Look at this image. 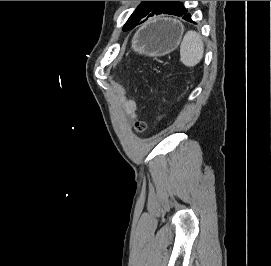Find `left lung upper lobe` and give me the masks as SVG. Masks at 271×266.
<instances>
[{"instance_id": "obj_1", "label": "left lung upper lobe", "mask_w": 271, "mask_h": 266, "mask_svg": "<svg viewBox=\"0 0 271 266\" xmlns=\"http://www.w3.org/2000/svg\"><path fill=\"white\" fill-rule=\"evenodd\" d=\"M177 2L178 1H143L129 17L123 29L134 28L142 19L152 12H168L177 4Z\"/></svg>"}]
</instances>
